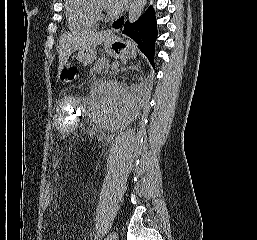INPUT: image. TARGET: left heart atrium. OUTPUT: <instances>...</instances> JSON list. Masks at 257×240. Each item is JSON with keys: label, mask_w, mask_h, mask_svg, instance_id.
Returning a JSON list of instances; mask_svg holds the SVG:
<instances>
[{"label": "left heart atrium", "mask_w": 257, "mask_h": 240, "mask_svg": "<svg viewBox=\"0 0 257 240\" xmlns=\"http://www.w3.org/2000/svg\"><path fill=\"white\" fill-rule=\"evenodd\" d=\"M128 0H107V6L110 10L119 11L125 7Z\"/></svg>", "instance_id": "1"}]
</instances>
